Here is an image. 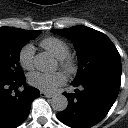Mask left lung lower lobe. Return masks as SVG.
I'll return each mask as SVG.
<instances>
[{
  "instance_id": "0a47b994",
  "label": "left lung lower lobe",
  "mask_w": 128,
  "mask_h": 128,
  "mask_svg": "<svg viewBox=\"0 0 128 128\" xmlns=\"http://www.w3.org/2000/svg\"><path fill=\"white\" fill-rule=\"evenodd\" d=\"M121 83V70L101 69L92 72L74 87L83 90L64 93L68 99L67 108L57 114L58 119L71 128H90L99 123L115 102Z\"/></svg>"
}]
</instances>
